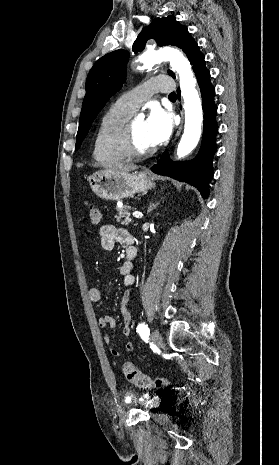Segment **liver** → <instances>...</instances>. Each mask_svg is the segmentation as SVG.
Segmentation results:
<instances>
[{
  "label": "liver",
  "instance_id": "obj_1",
  "mask_svg": "<svg viewBox=\"0 0 279 465\" xmlns=\"http://www.w3.org/2000/svg\"><path fill=\"white\" fill-rule=\"evenodd\" d=\"M137 168L136 165H131V164H116L113 167H110L106 171L110 172H129L132 170H135Z\"/></svg>",
  "mask_w": 279,
  "mask_h": 465
}]
</instances>
